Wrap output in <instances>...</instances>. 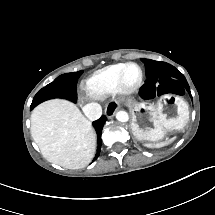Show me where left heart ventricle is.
Returning a JSON list of instances; mask_svg holds the SVG:
<instances>
[{"label": "left heart ventricle", "instance_id": "left-heart-ventricle-1", "mask_svg": "<svg viewBox=\"0 0 215 215\" xmlns=\"http://www.w3.org/2000/svg\"><path fill=\"white\" fill-rule=\"evenodd\" d=\"M124 76L128 82V85L136 78L137 72L133 67L123 68Z\"/></svg>", "mask_w": 215, "mask_h": 215}]
</instances>
